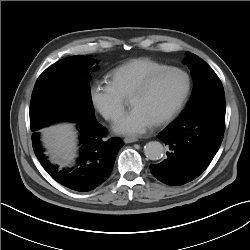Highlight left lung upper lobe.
<instances>
[{"mask_svg": "<svg viewBox=\"0 0 250 250\" xmlns=\"http://www.w3.org/2000/svg\"><path fill=\"white\" fill-rule=\"evenodd\" d=\"M184 62L191 70L194 87L187 107L179 117L205 103L225 97L220 79L205 61L193 53H188Z\"/></svg>", "mask_w": 250, "mask_h": 250, "instance_id": "left-lung-upper-lobe-1", "label": "left lung upper lobe"}]
</instances>
